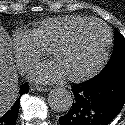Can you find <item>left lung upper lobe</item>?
Segmentation results:
<instances>
[{
	"instance_id": "obj_1",
	"label": "left lung upper lobe",
	"mask_w": 125,
	"mask_h": 125,
	"mask_svg": "<svg viewBox=\"0 0 125 125\" xmlns=\"http://www.w3.org/2000/svg\"><path fill=\"white\" fill-rule=\"evenodd\" d=\"M114 41V51L108 63L98 75L92 78L93 81H97L106 75L117 72L118 70L125 69V38L121 33L116 31Z\"/></svg>"
}]
</instances>
